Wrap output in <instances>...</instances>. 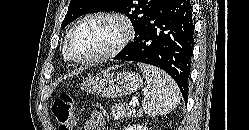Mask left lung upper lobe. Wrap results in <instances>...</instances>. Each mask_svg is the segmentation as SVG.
I'll return each instance as SVG.
<instances>
[{
  "label": "left lung upper lobe",
  "instance_id": "left-lung-upper-lobe-1",
  "mask_svg": "<svg viewBox=\"0 0 249 130\" xmlns=\"http://www.w3.org/2000/svg\"><path fill=\"white\" fill-rule=\"evenodd\" d=\"M164 0H71L62 22L64 28L81 15L92 11H114L129 17L135 29V37L143 23Z\"/></svg>",
  "mask_w": 249,
  "mask_h": 130
}]
</instances>
